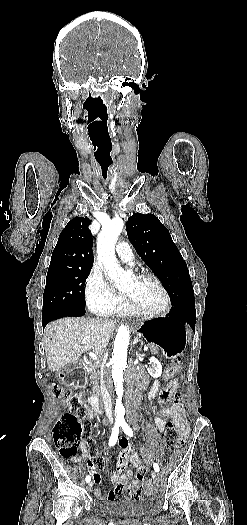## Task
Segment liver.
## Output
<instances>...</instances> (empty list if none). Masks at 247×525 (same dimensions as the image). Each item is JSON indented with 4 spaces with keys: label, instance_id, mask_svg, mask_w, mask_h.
I'll list each match as a JSON object with an SVG mask.
<instances>
[{
    "label": "liver",
    "instance_id": "liver-1",
    "mask_svg": "<svg viewBox=\"0 0 247 525\" xmlns=\"http://www.w3.org/2000/svg\"><path fill=\"white\" fill-rule=\"evenodd\" d=\"M117 321L64 317L51 321L44 329L43 347L49 371H60L79 361L83 353L93 349L96 355L106 349Z\"/></svg>",
    "mask_w": 247,
    "mask_h": 525
}]
</instances>
